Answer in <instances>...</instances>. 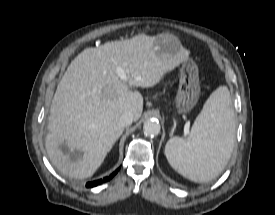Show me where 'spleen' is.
<instances>
[{
	"label": "spleen",
	"instance_id": "spleen-1",
	"mask_svg": "<svg viewBox=\"0 0 275 215\" xmlns=\"http://www.w3.org/2000/svg\"><path fill=\"white\" fill-rule=\"evenodd\" d=\"M235 114L228 88L218 87L205 102L191 139L171 138L165 147L169 164L194 182H208L221 173L234 148Z\"/></svg>",
	"mask_w": 275,
	"mask_h": 215
}]
</instances>
